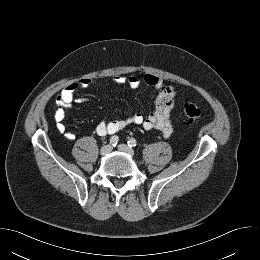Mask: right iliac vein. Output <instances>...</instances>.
Here are the masks:
<instances>
[{
	"label": "right iliac vein",
	"mask_w": 260,
	"mask_h": 260,
	"mask_svg": "<svg viewBox=\"0 0 260 260\" xmlns=\"http://www.w3.org/2000/svg\"><path fill=\"white\" fill-rule=\"evenodd\" d=\"M112 151V146L110 144L105 145L101 148L100 153L101 155H107Z\"/></svg>",
	"instance_id": "obj_1"
}]
</instances>
